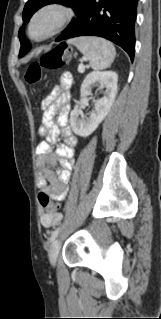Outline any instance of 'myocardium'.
<instances>
[{
    "label": "myocardium",
    "mask_w": 161,
    "mask_h": 319,
    "mask_svg": "<svg viewBox=\"0 0 161 319\" xmlns=\"http://www.w3.org/2000/svg\"><path fill=\"white\" fill-rule=\"evenodd\" d=\"M48 14H54L55 16L52 25L42 35H34L32 33L34 23ZM72 16L73 10L67 5L57 1L46 3L33 13L28 24V36L30 39L34 41L46 40L52 37L53 35L57 34L63 27H65V25L69 22Z\"/></svg>",
    "instance_id": "f54148a6"
}]
</instances>
